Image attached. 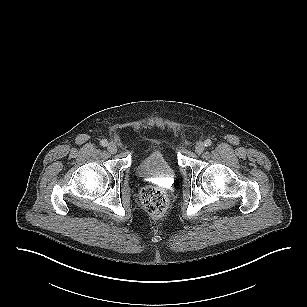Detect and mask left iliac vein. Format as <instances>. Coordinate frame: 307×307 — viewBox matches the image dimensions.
<instances>
[{"label": "left iliac vein", "instance_id": "4c4485c4", "mask_svg": "<svg viewBox=\"0 0 307 307\" xmlns=\"http://www.w3.org/2000/svg\"><path fill=\"white\" fill-rule=\"evenodd\" d=\"M205 150V145L203 142H198L196 145H195V152L197 154H201L203 153V151Z\"/></svg>", "mask_w": 307, "mask_h": 307}]
</instances>
